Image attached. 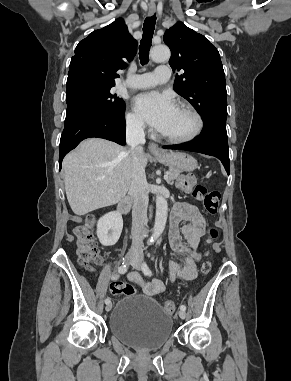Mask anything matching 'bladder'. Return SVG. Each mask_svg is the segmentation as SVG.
Listing matches in <instances>:
<instances>
[{"mask_svg":"<svg viewBox=\"0 0 291 381\" xmlns=\"http://www.w3.org/2000/svg\"><path fill=\"white\" fill-rule=\"evenodd\" d=\"M173 323L158 301L146 294L126 296L109 316V332L138 350L161 348L172 337Z\"/></svg>","mask_w":291,"mask_h":381,"instance_id":"31cf9c89","label":"bladder"}]
</instances>
